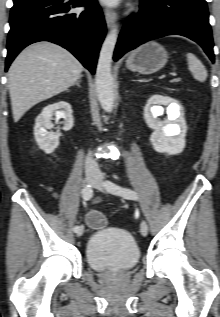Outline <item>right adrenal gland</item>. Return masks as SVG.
Returning a JSON list of instances; mask_svg holds the SVG:
<instances>
[{
    "mask_svg": "<svg viewBox=\"0 0 220 317\" xmlns=\"http://www.w3.org/2000/svg\"><path fill=\"white\" fill-rule=\"evenodd\" d=\"M83 76L81 75L80 77H79V79L73 84V85H77L79 88L81 87V85H80V82H81V78H82Z\"/></svg>",
    "mask_w": 220,
    "mask_h": 317,
    "instance_id": "2a0ac1e0",
    "label": "right adrenal gland"
}]
</instances>
